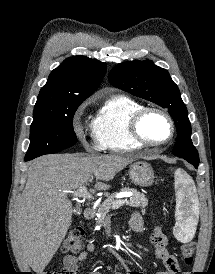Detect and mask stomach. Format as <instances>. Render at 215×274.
<instances>
[{
	"label": "stomach",
	"instance_id": "1",
	"mask_svg": "<svg viewBox=\"0 0 215 274\" xmlns=\"http://www.w3.org/2000/svg\"><path fill=\"white\" fill-rule=\"evenodd\" d=\"M130 180L138 186L148 187L154 183V171L152 166L145 161H137L130 165Z\"/></svg>",
	"mask_w": 215,
	"mask_h": 274
}]
</instances>
